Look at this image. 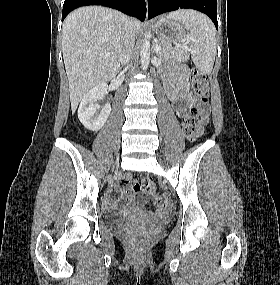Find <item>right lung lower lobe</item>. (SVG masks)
<instances>
[{
	"mask_svg": "<svg viewBox=\"0 0 280 285\" xmlns=\"http://www.w3.org/2000/svg\"><path fill=\"white\" fill-rule=\"evenodd\" d=\"M86 5H102L122 11L144 21L146 17L145 0H65L62 21L75 8Z\"/></svg>",
	"mask_w": 280,
	"mask_h": 285,
	"instance_id": "98d812e1",
	"label": "right lung lower lobe"
}]
</instances>
